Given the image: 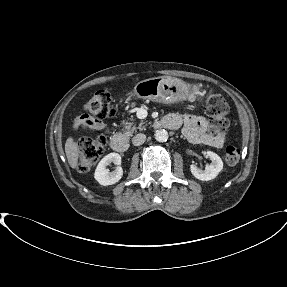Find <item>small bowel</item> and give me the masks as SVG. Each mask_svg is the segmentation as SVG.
I'll return each instance as SVG.
<instances>
[{"mask_svg":"<svg viewBox=\"0 0 287 287\" xmlns=\"http://www.w3.org/2000/svg\"><path fill=\"white\" fill-rule=\"evenodd\" d=\"M174 124V128H183L184 135L195 144H203L213 148H221L226 140L225 134L213 135L208 132V121L198 115L171 113L166 116ZM104 124L88 116H80L74 120V128L100 130Z\"/></svg>","mask_w":287,"mask_h":287,"instance_id":"1","label":"small bowel"}]
</instances>
